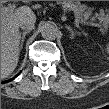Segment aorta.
<instances>
[{
	"instance_id": "1",
	"label": "aorta",
	"mask_w": 109,
	"mask_h": 109,
	"mask_svg": "<svg viewBox=\"0 0 109 109\" xmlns=\"http://www.w3.org/2000/svg\"><path fill=\"white\" fill-rule=\"evenodd\" d=\"M58 29L52 23H45L41 27V35L44 39L54 40L57 37Z\"/></svg>"
}]
</instances>
